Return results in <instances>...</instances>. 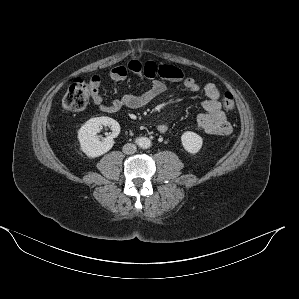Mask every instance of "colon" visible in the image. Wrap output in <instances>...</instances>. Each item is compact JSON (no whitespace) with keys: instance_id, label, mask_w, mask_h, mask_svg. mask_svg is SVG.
Returning <instances> with one entry per match:
<instances>
[{"instance_id":"obj_1","label":"colon","mask_w":299,"mask_h":299,"mask_svg":"<svg viewBox=\"0 0 299 299\" xmlns=\"http://www.w3.org/2000/svg\"><path fill=\"white\" fill-rule=\"evenodd\" d=\"M94 79L90 81L81 78L73 79L68 91L66 92L62 106L66 111L78 112L86 108L89 103ZM223 108L227 112H232L235 108V101L231 93H226L223 101Z\"/></svg>"}]
</instances>
